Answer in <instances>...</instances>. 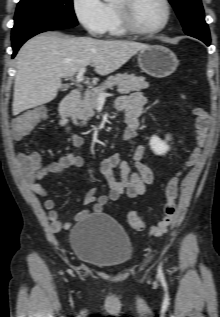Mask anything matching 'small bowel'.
<instances>
[{"label":"small bowel","instance_id":"1","mask_svg":"<svg viewBox=\"0 0 220 317\" xmlns=\"http://www.w3.org/2000/svg\"><path fill=\"white\" fill-rule=\"evenodd\" d=\"M146 97L140 92H134L127 96H122L117 100V108L125 112L126 127L124 130V138L133 139L137 136L139 128V117L142 114L146 104ZM64 131L70 137L74 147L80 149L83 146V138L66 127ZM36 155L38 158L39 156ZM146 148L138 145L131 154V161L135 168L132 171L131 165L121 160L118 154H112L102 159L100 163V171L105 177L109 192L107 194L96 195L94 189H90L84 196V203L91 204L90 210H84L77 214L78 220L83 219L87 215L93 213H101L104 206L109 201H115L122 195L134 198L146 193L147 188L153 184L154 176L149 164L145 161ZM19 164L23 170L25 181L31 191L38 197L45 198L43 202L44 208L48 211V219L51 229L55 232L70 227L69 222H63L56 210V202L47 198V189L40 183L41 179L48 174H61L70 167L80 168L83 165V158L79 152H68L62 155L57 161L49 163L45 166H33L27 162V155L18 156ZM40 160V158H39ZM115 169H119L120 177L115 175Z\"/></svg>","mask_w":220,"mask_h":317}]
</instances>
